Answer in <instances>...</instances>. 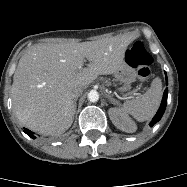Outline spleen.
Here are the masks:
<instances>
[{
	"mask_svg": "<svg viewBox=\"0 0 187 187\" xmlns=\"http://www.w3.org/2000/svg\"><path fill=\"white\" fill-rule=\"evenodd\" d=\"M162 98V82L156 77L148 91L140 98L126 101L121 110L137 121H146L156 113Z\"/></svg>",
	"mask_w": 187,
	"mask_h": 187,
	"instance_id": "3e777b00",
	"label": "spleen"
}]
</instances>
